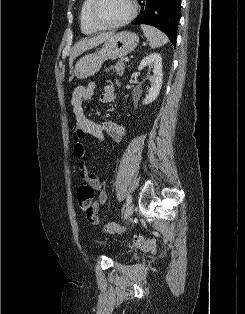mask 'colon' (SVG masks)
I'll list each match as a JSON object with an SVG mask.
<instances>
[{"label": "colon", "mask_w": 245, "mask_h": 314, "mask_svg": "<svg viewBox=\"0 0 245 314\" xmlns=\"http://www.w3.org/2000/svg\"><path fill=\"white\" fill-rule=\"evenodd\" d=\"M77 198L79 207L86 214H91L93 212V199H94V188L90 185H81L77 189ZM103 231L106 233H122L123 230L121 226L117 223H107L103 226ZM134 245L142 250L155 253L156 246L151 241H146L140 237L134 239Z\"/></svg>", "instance_id": "obj_1"}]
</instances>
